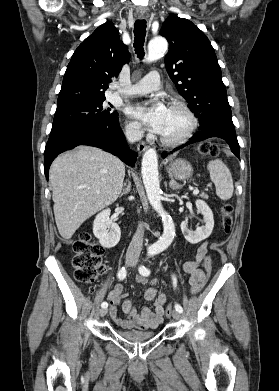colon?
<instances>
[{
  "label": "colon",
  "mask_w": 279,
  "mask_h": 391,
  "mask_svg": "<svg viewBox=\"0 0 279 391\" xmlns=\"http://www.w3.org/2000/svg\"><path fill=\"white\" fill-rule=\"evenodd\" d=\"M199 152L203 156H216L219 153V147L214 143H204L199 146ZM232 206L229 203H225L221 208L223 228L226 233H229L232 227ZM74 256L72 259V265L74 268L75 279L83 285H92L100 272L105 269V265L102 261V255L104 252L103 247L94 240L93 236L89 232H83L73 244ZM206 275L203 279L196 282L191 286V293H199L207 280V275L211 270L212 260L210 256H205ZM173 307L169 305L166 308V315L172 314Z\"/></svg>",
  "instance_id": "colon-1"
}]
</instances>
